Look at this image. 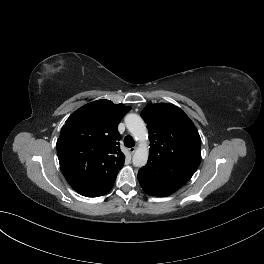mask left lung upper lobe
Listing matches in <instances>:
<instances>
[{"label": "left lung upper lobe", "instance_id": "1", "mask_svg": "<svg viewBox=\"0 0 264 264\" xmlns=\"http://www.w3.org/2000/svg\"><path fill=\"white\" fill-rule=\"evenodd\" d=\"M150 138L149 160L167 174L189 180L201 161V139L193 122L173 104H147L141 112Z\"/></svg>", "mask_w": 264, "mask_h": 264}]
</instances>
